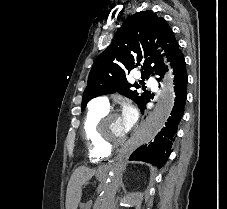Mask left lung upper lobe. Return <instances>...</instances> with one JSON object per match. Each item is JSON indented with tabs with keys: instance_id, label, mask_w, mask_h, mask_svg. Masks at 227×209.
Wrapping results in <instances>:
<instances>
[{
	"instance_id": "obj_1",
	"label": "left lung upper lobe",
	"mask_w": 227,
	"mask_h": 209,
	"mask_svg": "<svg viewBox=\"0 0 227 209\" xmlns=\"http://www.w3.org/2000/svg\"><path fill=\"white\" fill-rule=\"evenodd\" d=\"M157 44L165 50L172 64L180 49L167 22L151 10L127 17L110 46L96 58L92 66L81 110L92 98L118 92L132 99L142 111L151 98L150 93L139 95L133 88H139L140 85L130 84L126 75L137 66L141 67L143 79L151 74H164L165 65ZM140 84H144V81L141 80Z\"/></svg>"
}]
</instances>
